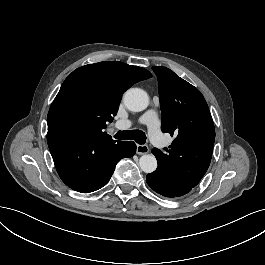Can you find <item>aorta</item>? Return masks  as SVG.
I'll return each mask as SVG.
<instances>
[{"mask_svg":"<svg viewBox=\"0 0 265 265\" xmlns=\"http://www.w3.org/2000/svg\"><path fill=\"white\" fill-rule=\"evenodd\" d=\"M123 102L130 111L141 112L148 108L150 98L145 90L131 88L125 92ZM139 166L143 172L152 173L157 168V160L152 154H144L139 159Z\"/></svg>","mask_w":265,"mask_h":265,"instance_id":"762f6f07","label":"aorta"}]
</instances>
